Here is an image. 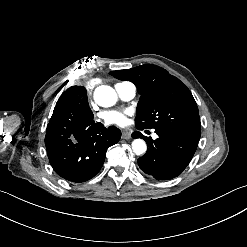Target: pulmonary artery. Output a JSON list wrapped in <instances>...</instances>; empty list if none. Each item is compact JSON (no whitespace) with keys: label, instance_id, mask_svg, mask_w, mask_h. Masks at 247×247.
Returning a JSON list of instances; mask_svg holds the SVG:
<instances>
[{"label":"pulmonary artery","instance_id":"1","mask_svg":"<svg viewBox=\"0 0 247 247\" xmlns=\"http://www.w3.org/2000/svg\"><path fill=\"white\" fill-rule=\"evenodd\" d=\"M115 89L122 100L129 101L136 96V86L130 82L117 83ZM156 137V135H153Z\"/></svg>","mask_w":247,"mask_h":247}]
</instances>
